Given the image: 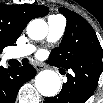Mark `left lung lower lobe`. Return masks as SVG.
Wrapping results in <instances>:
<instances>
[{
    "mask_svg": "<svg viewBox=\"0 0 103 103\" xmlns=\"http://www.w3.org/2000/svg\"><path fill=\"white\" fill-rule=\"evenodd\" d=\"M102 68V55L93 54L80 60L70 67L74 74L67 75L68 81L63 84L61 92L45 98L44 103H85L97 87Z\"/></svg>",
    "mask_w": 103,
    "mask_h": 103,
    "instance_id": "obj_1",
    "label": "left lung lower lobe"
}]
</instances>
